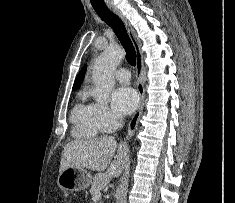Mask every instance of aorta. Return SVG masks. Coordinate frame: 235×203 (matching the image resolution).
I'll list each match as a JSON object with an SVG mask.
<instances>
[{"instance_id":"1","label":"aorta","mask_w":235,"mask_h":203,"mask_svg":"<svg viewBox=\"0 0 235 203\" xmlns=\"http://www.w3.org/2000/svg\"><path fill=\"white\" fill-rule=\"evenodd\" d=\"M124 54V50L119 45L111 44L96 60L92 75L95 84L92 95L98 103H107L115 83L114 72Z\"/></svg>"}]
</instances>
